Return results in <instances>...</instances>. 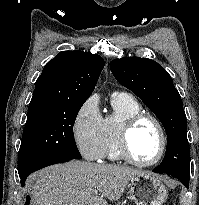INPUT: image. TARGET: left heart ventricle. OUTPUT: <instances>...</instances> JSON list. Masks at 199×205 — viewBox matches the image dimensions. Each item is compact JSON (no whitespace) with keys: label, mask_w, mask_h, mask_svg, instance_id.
I'll return each mask as SVG.
<instances>
[{"label":"left heart ventricle","mask_w":199,"mask_h":205,"mask_svg":"<svg viewBox=\"0 0 199 205\" xmlns=\"http://www.w3.org/2000/svg\"><path fill=\"white\" fill-rule=\"evenodd\" d=\"M160 149V137L156 126L150 121H142L132 130L130 150L141 162L153 160Z\"/></svg>","instance_id":"obj_1"}]
</instances>
